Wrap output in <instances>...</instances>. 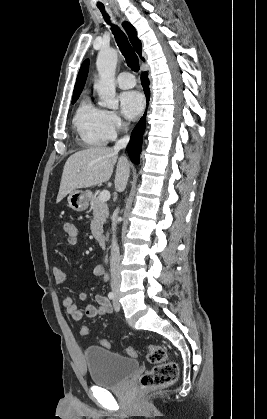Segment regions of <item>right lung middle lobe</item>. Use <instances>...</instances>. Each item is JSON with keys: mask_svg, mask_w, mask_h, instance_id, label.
Listing matches in <instances>:
<instances>
[{"mask_svg": "<svg viewBox=\"0 0 267 419\" xmlns=\"http://www.w3.org/2000/svg\"><path fill=\"white\" fill-rule=\"evenodd\" d=\"M79 95L73 96L72 98V104H74L76 102V100L78 99Z\"/></svg>", "mask_w": 267, "mask_h": 419, "instance_id": "1", "label": "right lung middle lobe"}]
</instances>
